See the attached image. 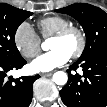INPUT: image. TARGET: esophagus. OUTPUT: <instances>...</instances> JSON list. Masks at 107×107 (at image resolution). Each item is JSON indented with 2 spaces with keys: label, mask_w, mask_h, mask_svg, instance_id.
<instances>
[{
  "label": "esophagus",
  "mask_w": 107,
  "mask_h": 107,
  "mask_svg": "<svg viewBox=\"0 0 107 107\" xmlns=\"http://www.w3.org/2000/svg\"><path fill=\"white\" fill-rule=\"evenodd\" d=\"M52 74H53V72H47V73H41L40 75L42 77H50V76H52Z\"/></svg>",
  "instance_id": "34e87169"
}]
</instances>
